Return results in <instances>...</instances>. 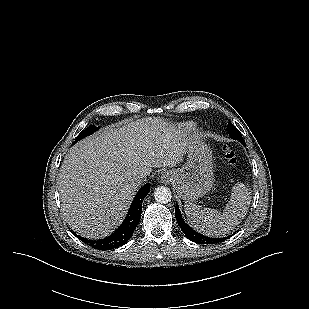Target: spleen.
<instances>
[{
	"mask_svg": "<svg viewBox=\"0 0 309 309\" xmlns=\"http://www.w3.org/2000/svg\"><path fill=\"white\" fill-rule=\"evenodd\" d=\"M250 203V189L243 183H236L223 212L193 203H186L184 207L188 222L197 231L219 237L232 231L244 219Z\"/></svg>",
	"mask_w": 309,
	"mask_h": 309,
	"instance_id": "1",
	"label": "spleen"
}]
</instances>
